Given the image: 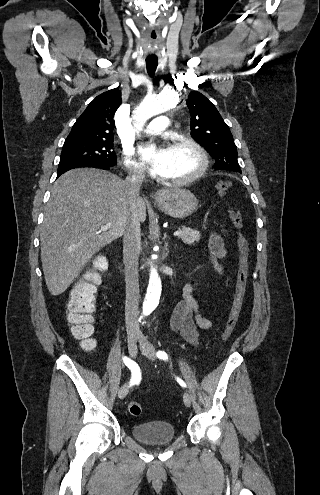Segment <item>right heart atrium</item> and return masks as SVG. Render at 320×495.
Masks as SVG:
<instances>
[{"instance_id": "1", "label": "right heart atrium", "mask_w": 320, "mask_h": 495, "mask_svg": "<svg viewBox=\"0 0 320 495\" xmlns=\"http://www.w3.org/2000/svg\"><path fill=\"white\" fill-rule=\"evenodd\" d=\"M123 163L130 176L142 177L144 175L143 166L134 159L132 152L128 149L124 150Z\"/></svg>"}]
</instances>
